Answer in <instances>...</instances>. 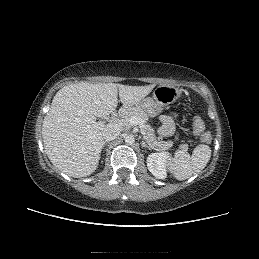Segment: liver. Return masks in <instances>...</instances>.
Wrapping results in <instances>:
<instances>
[{"instance_id":"6515ba94","label":"liver","mask_w":259,"mask_h":259,"mask_svg":"<svg viewBox=\"0 0 259 259\" xmlns=\"http://www.w3.org/2000/svg\"><path fill=\"white\" fill-rule=\"evenodd\" d=\"M154 87L80 82L61 88L42 125L45 151L52 164L75 178L92 174L100 159L106 127L96 118L114 112L118 95L123 106L130 108Z\"/></svg>"}]
</instances>
